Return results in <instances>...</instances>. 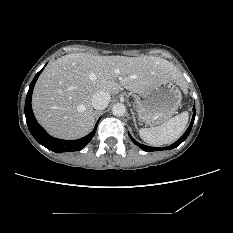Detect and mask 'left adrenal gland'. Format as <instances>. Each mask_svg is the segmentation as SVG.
I'll list each match as a JSON object with an SVG mask.
<instances>
[{
  "mask_svg": "<svg viewBox=\"0 0 233 233\" xmlns=\"http://www.w3.org/2000/svg\"><path fill=\"white\" fill-rule=\"evenodd\" d=\"M132 119H133V122H134V126L137 129L136 118H135V115H134L133 111H132Z\"/></svg>",
  "mask_w": 233,
  "mask_h": 233,
  "instance_id": "1",
  "label": "left adrenal gland"
}]
</instances>
